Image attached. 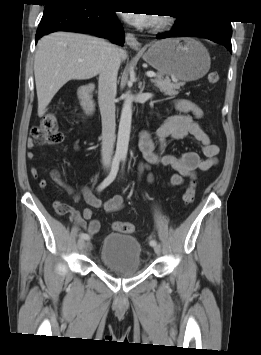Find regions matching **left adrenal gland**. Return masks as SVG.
<instances>
[{"instance_id": "1", "label": "left adrenal gland", "mask_w": 261, "mask_h": 355, "mask_svg": "<svg viewBox=\"0 0 261 355\" xmlns=\"http://www.w3.org/2000/svg\"><path fill=\"white\" fill-rule=\"evenodd\" d=\"M145 88V81H143V86H142V89H144Z\"/></svg>"}]
</instances>
